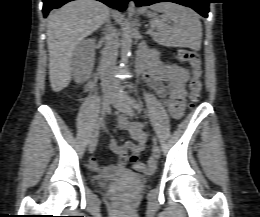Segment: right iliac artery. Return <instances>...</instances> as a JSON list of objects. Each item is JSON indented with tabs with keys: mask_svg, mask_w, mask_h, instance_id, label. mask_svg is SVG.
<instances>
[{
	"mask_svg": "<svg viewBox=\"0 0 260 217\" xmlns=\"http://www.w3.org/2000/svg\"><path fill=\"white\" fill-rule=\"evenodd\" d=\"M102 114H103V111H102ZM101 120H102V118H100V122H99V124H98V126H97L96 133L99 132L100 125L102 124Z\"/></svg>",
	"mask_w": 260,
	"mask_h": 217,
	"instance_id": "right-iliac-artery-1",
	"label": "right iliac artery"
}]
</instances>
